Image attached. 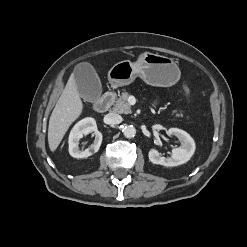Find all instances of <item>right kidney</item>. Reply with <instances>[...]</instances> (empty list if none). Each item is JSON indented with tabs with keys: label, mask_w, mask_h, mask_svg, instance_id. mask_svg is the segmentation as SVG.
Returning a JSON list of instances; mask_svg holds the SVG:
<instances>
[{
	"label": "right kidney",
	"mask_w": 247,
	"mask_h": 247,
	"mask_svg": "<svg viewBox=\"0 0 247 247\" xmlns=\"http://www.w3.org/2000/svg\"><path fill=\"white\" fill-rule=\"evenodd\" d=\"M91 132H94L95 135L94 142L89 148L81 150L78 146L80 139ZM68 143L69 153L74 158H86L96 153L102 143V133L97 129L95 119L87 117L76 123L70 132Z\"/></svg>",
	"instance_id": "ca27d5eb"
}]
</instances>
